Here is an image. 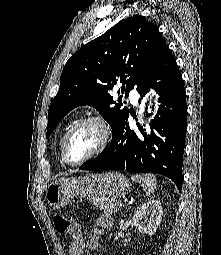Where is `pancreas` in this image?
I'll return each instance as SVG.
<instances>
[{
	"mask_svg": "<svg viewBox=\"0 0 221 255\" xmlns=\"http://www.w3.org/2000/svg\"><path fill=\"white\" fill-rule=\"evenodd\" d=\"M93 205L99 209L102 210L105 214H115L117 211L123 206L121 200L118 199H99L97 201L93 202Z\"/></svg>",
	"mask_w": 221,
	"mask_h": 255,
	"instance_id": "obj_1",
	"label": "pancreas"
}]
</instances>
